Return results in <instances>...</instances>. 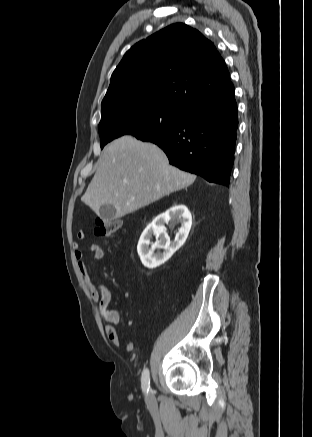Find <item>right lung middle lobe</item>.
<instances>
[{
  "instance_id": "1",
  "label": "right lung middle lobe",
  "mask_w": 312,
  "mask_h": 437,
  "mask_svg": "<svg viewBox=\"0 0 312 437\" xmlns=\"http://www.w3.org/2000/svg\"><path fill=\"white\" fill-rule=\"evenodd\" d=\"M187 109L161 103L141 102L120 106L102 116L98 130L103 148L108 142L130 134L146 140L177 126L186 116Z\"/></svg>"
}]
</instances>
